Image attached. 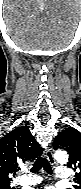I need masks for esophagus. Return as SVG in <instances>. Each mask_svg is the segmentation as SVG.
<instances>
[{"instance_id":"esophagus-1","label":"esophagus","mask_w":81,"mask_h":189,"mask_svg":"<svg viewBox=\"0 0 81 189\" xmlns=\"http://www.w3.org/2000/svg\"><path fill=\"white\" fill-rule=\"evenodd\" d=\"M45 156L47 158V160L50 162V164L54 165L55 164V160H54V156H53V151L51 148H46L45 150Z\"/></svg>"}]
</instances>
